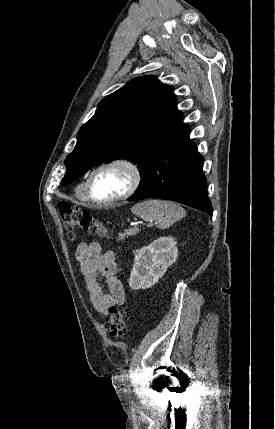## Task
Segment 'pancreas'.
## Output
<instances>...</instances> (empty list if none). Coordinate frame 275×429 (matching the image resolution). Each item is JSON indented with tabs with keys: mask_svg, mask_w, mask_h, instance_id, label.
I'll return each mask as SVG.
<instances>
[{
	"mask_svg": "<svg viewBox=\"0 0 275 429\" xmlns=\"http://www.w3.org/2000/svg\"><path fill=\"white\" fill-rule=\"evenodd\" d=\"M139 232L138 228H131L119 234L118 240H123L125 237L133 236Z\"/></svg>",
	"mask_w": 275,
	"mask_h": 429,
	"instance_id": "cf45deb5",
	"label": "pancreas"
}]
</instances>
